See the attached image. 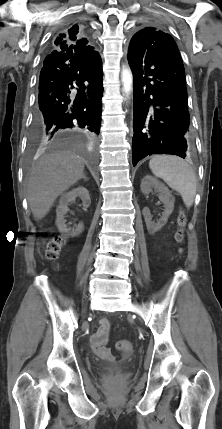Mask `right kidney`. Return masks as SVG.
<instances>
[{
	"mask_svg": "<svg viewBox=\"0 0 222 429\" xmlns=\"http://www.w3.org/2000/svg\"><path fill=\"white\" fill-rule=\"evenodd\" d=\"M77 197H79L82 200V205L84 208H88L89 205L91 204L89 192L83 186H79L77 188L72 189L69 192L63 193L60 197L59 205L56 209V213H57L56 225L60 232L67 233L70 230L67 228L65 215L69 211V208H68L69 203L75 201ZM83 228H84L83 223H79L78 226L75 229H73L72 236H77L81 234L83 231Z\"/></svg>",
	"mask_w": 222,
	"mask_h": 429,
	"instance_id": "ca27d5eb",
	"label": "right kidney"
}]
</instances>
